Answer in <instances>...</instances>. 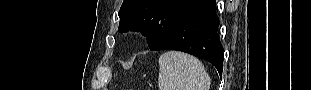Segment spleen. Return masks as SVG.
Here are the masks:
<instances>
[{"instance_id": "obj_1", "label": "spleen", "mask_w": 311, "mask_h": 90, "mask_svg": "<svg viewBox=\"0 0 311 90\" xmlns=\"http://www.w3.org/2000/svg\"><path fill=\"white\" fill-rule=\"evenodd\" d=\"M159 90H209L210 77L200 60L169 51L159 58Z\"/></svg>"}]
</instances>
